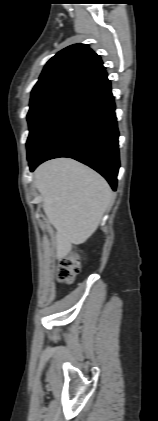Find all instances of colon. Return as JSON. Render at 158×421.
<instances>
[{"mask_svg": "<svg viewBox=\"0 0 158 421\" xmlns=\"http://www.w3.org/2000/svg\"><path fill=\"white\" fill-rule=\"evenodd\" d=\"M80 271V259L75 253H71L60 261L58 278L63 283H71Z\"/></svg>", "mask_w": 158, "mask_h": 421, "instance_id": "1", "label": "colon"}]
</instances>
